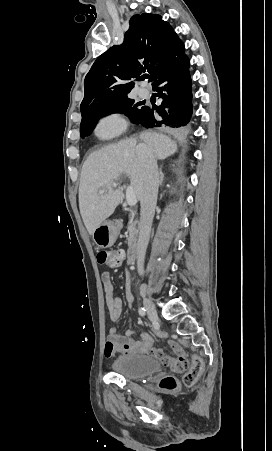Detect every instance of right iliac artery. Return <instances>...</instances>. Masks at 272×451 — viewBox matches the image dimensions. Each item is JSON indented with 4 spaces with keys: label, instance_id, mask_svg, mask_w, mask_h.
<instances>
[{
    "label": "right iliac artery",
    "instance_id": "obj_1",
    "mask_svg": "<svg viewBox=\"0 0 272 451\" xmlns=\"http://www.w3.org/2000/svg\"><path fill=\"white\" fill-rule=\"evenodd\" d=\"M139 314L143 317L146 315V310L144 307L139 308Z\"/></svg>",
    "mask_w": 272,
    "mask_h": 451
}]
</instances>
